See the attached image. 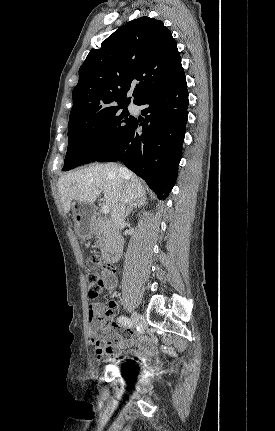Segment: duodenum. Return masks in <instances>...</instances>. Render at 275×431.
I'll use <instances>...</instances> for the list:
<instances>
[{
  "label": "duodenum",
  "instance_id": "obj_1",
  "mask_svg": "<svg viewBox=\"0 0 275 431\" xmlns=\"http://www.w3.org/2000/svg\"><path fill=\"white\" fill-rule=\"evenodd\" d=\"M97 225L111 234V238L103 251L105 259L110 263L119 261L123 250L122 237L115 231L109 220H98Z\"/></svg>",
  "mask_w": 275,
  "mask_h": 431
}]
</instances>
